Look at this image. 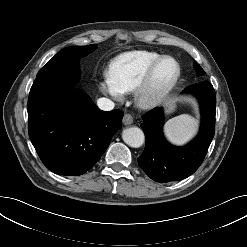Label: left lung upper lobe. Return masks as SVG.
<instances>
[{"label": "left lung upper lobe", "instance_id": "5c2ea615", "mask_svg": "<svg viewBox=\"0 0 247 247\" xmlns=\"http://www.w3.org/2000/svg\"><path fill=\"white\" fill-rule=\"evenodd\" d=\"M195 68L200 75L205 74L204 70L199 66V64H195Z\"/></svg>", "mask_w": 247, "mask_h": 247}]
</instances>
